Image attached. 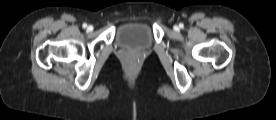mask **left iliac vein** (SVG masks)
<instances>
[{
    "label": "left iliac vein",
    "instance_id": "left-iliac-vein-1",
    "mask_svg": "<svg viewBox=\"0 0 276 120\" xmlns=\"http://www.w3.org/2000/svg\"><path fill=\"white\" fill-rule=\"evenodd\" d=\"M174 29H175V30H178V27H177V26H175V27H174Z\"/></svg>",
    "mask_w": 276,
    "mask_h": 120
}]
</instances>
